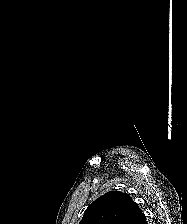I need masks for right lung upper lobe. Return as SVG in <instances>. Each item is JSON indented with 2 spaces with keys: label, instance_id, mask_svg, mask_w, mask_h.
<instances>
[{
  "label": "right lung upper lobe",
  "instance_id": "obj_1",
  "mask_svg": "<svg viewBox=\"0 0 187 224\" xmlns=\"http://www.w3.org/2000/svg\"><path fill=\"white\" fill-rule=\"evenodd\" d=\"M79 224H147V221L128 194L110 191L88 206Z\"/></svg>",
  "mask_w": 187,
  "mask_h": 224
}]
</instances>
